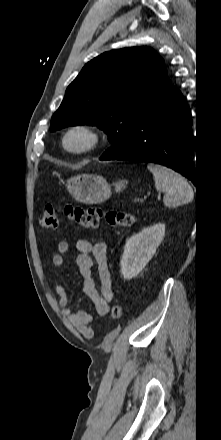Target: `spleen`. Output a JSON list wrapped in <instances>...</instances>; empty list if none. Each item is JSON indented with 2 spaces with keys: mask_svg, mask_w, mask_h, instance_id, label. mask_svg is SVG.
Wrapping results in <instances>:
<instances>
[{
  "mask_svg": "<svg viewBox=\"0 0 221 440\" xmlns=\"http://www.w3.org/2000/svg\"><path fill=\"white\" fill-rule=\"evenodd\" d=\"M147 168L153 174L156 189L164 193L163 201L167 207L192 201L193 189L180 174L161 165L149 164Z\"/></svg>",
  "mask_w": 221,
  "mask_h": 440,
  "instance_id": "obj_1",
  "label": "spleen"
}]
</instances>
